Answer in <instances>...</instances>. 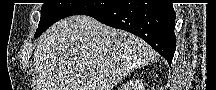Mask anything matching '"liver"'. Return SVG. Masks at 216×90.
<instances>
[{
	"instance_id": "6515ba94",
	"label": "liver",
	"mask_w": 216,
	"mask_h": 90,
	"mask_svg": "<svg viewBox=\"0 0 216 90\" xmlns=\"http://www.w3.org/2000/svg\"><path fill=\"white\" fill-rule=\"evenodd\" d=\"M154 60L153 50L134 34L71 16L36 40V90H113L129 72Z\"/></svg>"
}]
</instances>
